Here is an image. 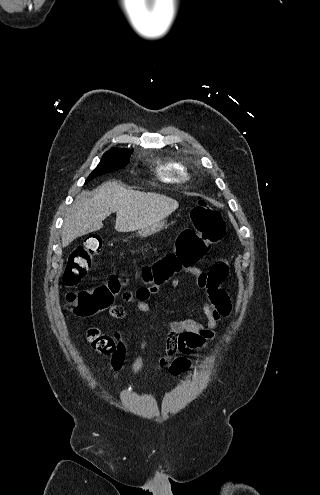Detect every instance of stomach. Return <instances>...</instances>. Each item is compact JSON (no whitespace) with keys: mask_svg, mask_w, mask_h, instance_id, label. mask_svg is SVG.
Listing matches in <instances>:
<instances>
[{"mask_svg":"<svg viewBox=\"0 0 320 495\" xmlns=\"http://www.w3.org/2000/svg\"><path fill=\"white\" fill-rule=\"evenodd\" d=\"M165 225V221L164 220H160V221H157L155 223H153L152 225L150 226H147L145 228H142L138 231V234L140 236H143V237H147V236H150L154 233H157L158 231H160Z\"/></svg>","mask_w":320,"mask_h":495,"instance_id":"1","label":"stomach"}]
</instances>
